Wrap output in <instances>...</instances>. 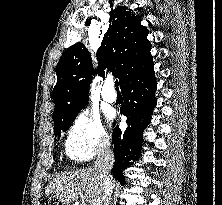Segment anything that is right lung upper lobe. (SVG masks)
<instances>
[{"instance_id":"cb5924a9","label":"right lung upper lobe","mask_w":222,"mask_h":205,"mask_svg":"<svg viewBox=\"0 0 222 205\" xmlns=\"http://www.w3.org/2000/svg\"><path fill=\"white\" fill-rule=\"evenodd\" d=\"M110 24L97 50L99 75L108 69L124 82L151 68V44L141 17L124 6L110 12ZM91 57L83 43L69 47L56 67L57 83L53 89V120L79 113L89 101V87L95 75Z\"/></svg>"}]
</instances>
